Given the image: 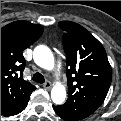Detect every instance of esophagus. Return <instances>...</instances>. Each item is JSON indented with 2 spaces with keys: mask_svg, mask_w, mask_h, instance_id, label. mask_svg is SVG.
I'll list each match as a JSON object with an SVG mask.
<instances>
[{
  "mask_svg": "<svg viewBox=\"0 0 121 121\" xmlns=\"http://www.w3.org/2000/svg\"><path fill=\"white\" fill-rule=\"evenodd\" d=\"M43 87H44L46 90H49V89H51L52 84H51V82L47 81V82H45V83L43 84Z\"/></svg>",
  "mask_w": 121,
  "mask_h": 121,
  "instance_id": "34e87169",
  "label": "esophagus"
}]
</instances>
